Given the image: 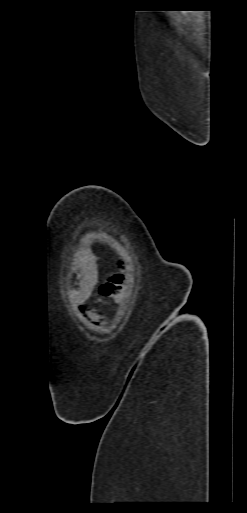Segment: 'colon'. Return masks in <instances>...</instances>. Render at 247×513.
Instances as JSON below:
<instances>
[{"label": "colon", "mask_w": 247, "mask_h": 513, "mask_svg": "<svg viewBox=\"0 0 247 513\" xmlns=\"http://www.w3.org/2000/svg\"><path fill=\"white\" fill-rule=\"evenodd\" d=\"M123 280L122 272L115 271L99 286L100 294L106 297H112L114 293L121 290Z\"/></svg>", "instance_id": "1"}]
</instances>
